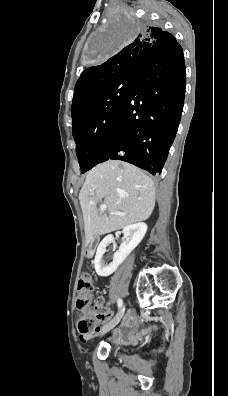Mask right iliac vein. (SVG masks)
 Here are the masks:
<instances>
[{
    "mask_svg": "<svg viewBox=\"0 0 228 396\" xmlns=\"http://www.w3.org/2000/svg\"><path fill=\"white\" fill-rule=\"evenodd\" d=\"M124 311H125V306H122L117 316L109 324H107L102 328L100 335H104L105 333L113 329L120 322L121 318L124 315Z\"/></svg>",
    "mask_w": 228,
    "mask_h": 396,
    "instance_id": "1",
    "label": "right iliac vein"
}]
</instances>
